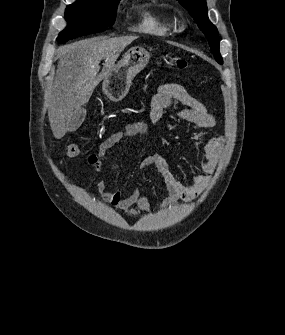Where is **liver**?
Instances as JSON below:
<instances>
[{"label": "liver", "instance_id": "6515ba94", "mask_svg": "<svg viewBox=\"0 0 285 335\" xmlns=\"http://www.w3.org/2000/svg\"><path fill=\"white\" fill-rule=\"evenodd\" d=\"M137 38H89L59 48L58 70L48 100V118L54 138L60 140L65 136L75 110L89 102L101 78H106L121 52ZM102 60L104 68L97 76Z\"/></svg>", "mask_w": 285, "mask_h": 335}]
</instances>
